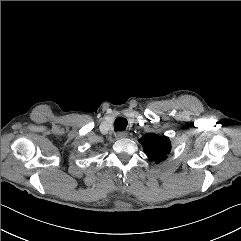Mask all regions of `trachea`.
I'll list each match as a JSON object with an SVG mask.
<instances>
[{
	"label": "trachea",
	"instance_id": "3493384b",
	"mask_svg": "<svg viewBox=\"0 0 241 241\" xmlns=\"http://www.w3.org/2000/svg\"><path fill=\"white\" fill-rule=\"evenodd\" d=\"M128 121L125 118H117L114 121V130L115 131H123L126 129Z\"/></svg>",
	"mask_w": 241,
	"mask_h": 241
}]
</instances>
